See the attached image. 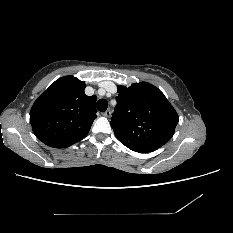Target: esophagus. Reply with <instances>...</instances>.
Instances as JSON below:
<instances>
[{"label":"esophagus","instance_id":"obj_1","mask_svg":"<svg viewBox=\"0 0 233 233\" xmlns=\"http://www.w3.org/2000/svg\"><path fill=\"white\" fill-rule=\"evenodd\" d=\"M111 114H112V112H111L110 109L107 110V111H105L104 113H102V115L105 116V117H107V118H109L111 116Z\"/></svg>","mask_w":233,"mask_h":233}]
</instances>
